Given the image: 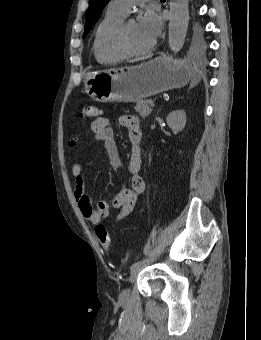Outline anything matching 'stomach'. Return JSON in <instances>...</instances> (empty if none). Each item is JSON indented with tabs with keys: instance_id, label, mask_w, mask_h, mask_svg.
Instances as JSON below:
<instances>
[{
	"instance_id": "0dacf381",
	"label": "stomach",
	"mask_w": 261,
	"mask_h": 340,
	"mask_svg": "<svg viewBox=\"0 0 261 340\" xmlns=\"http://www.w3.org/2000/svg\"><path fill=\"white\" fill-rule=\"evenodd\" d=\"M194 76L188 64L157 57L136 66L89 73L85 91L98 102H136L184 87Z\"/></svg>"
}]
</instances>
